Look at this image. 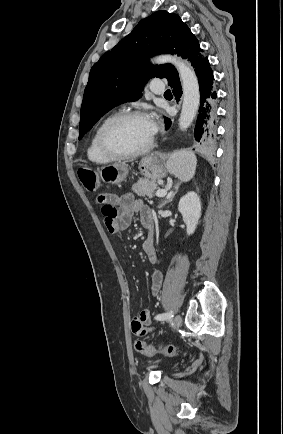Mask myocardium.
Masks as SVG:
<instances>
[{
    "mask_svg": "<svg viewBox=\"0 0 283 434\" xmlns=\"http://www.w3.org/2000/svg\"><path fill=\"white\" fill-rule=\"evenodd\" d=\"M135 118H147L146 114L142 111H127L118 113L109 118L99 129L97 134V145L99 150L107 157L113 160L130 159L142 156L148 153L154 146V137L150 139L149 143L140 150L133 152H121L111 146L108 140L110 131L118 124Z\"/></svg>",
    "mask_w": 283,
    "mask_h": 434,
    "instance_id": "1",
    "label": "myocardium"
}]
</instances>
